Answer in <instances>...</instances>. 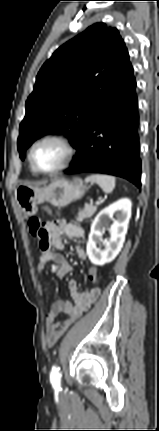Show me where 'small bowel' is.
<instances>
[{
    "mask_svg": "<svg viewBox=\"0 0 159 431\" xmlns=\"http://www.w3.org/2000/svg\"><path fill=\"white\" fill-rule=\"evenodd\" d=\"M43 227L44 234L37 237L40 246L37 270L42 272L50 264L51 271L57 277L63 278L72 271V266L61 254L64 249L61 236L81 238L84 236V230L64 219L46 221ZM77 253L81 258L86 256L81 248H78ZM95 274L97 275V272ZM96 280L98 283L96 288H92L91 284L90 289L86 292L79 290L75 279L69 281L68 289L71 301H55L46 316V341L48 346L51 347L56 344L69 326L96 301L100 294V278L97 276ZM46 290L49 291V287ZM60 315H65V319L60 320L58 318Z\"/></svg>",
    "mask_w": 159,
    "mask_h": 431,
    "instance_id": "1",
    "label": "small bowel"
}]
</instances>
